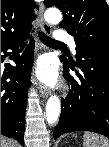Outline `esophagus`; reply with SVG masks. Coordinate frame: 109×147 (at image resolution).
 Here are the masks:
<instances>
[{
  "label": "esophagus",
  "instance_id": "obj_1",
  "mask_svg": "<svg viewBox=\"0 0 109 147\" xmlns=\"http://www.w3.org/2000/svg\"><path fill=\"white\" fill-rule=\"evenodd\" d=\"M43 13H44V6L41 5L40 10H39V13H38V20L40 22L42 31L44 33L50 35L52 33V28H51V26L49 24H47L44 21ZM39 91H40V94H41V96L43 98H47L50 95L49 89L45 88L44 86H40Z\"/></svg>",
  "mask_w": 109,
  "mask_h": 147
}]
</instances>
